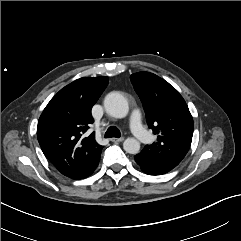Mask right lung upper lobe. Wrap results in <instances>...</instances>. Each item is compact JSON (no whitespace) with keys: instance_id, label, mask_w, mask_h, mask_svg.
<instances>
[{"instance_id":"right-lung-upper-lobe-1","label":"right lung upper lobe","mask_w":241,"mask_h":241,"mask_svg":"<svg viewBox=\"0 0 241 241\" xmlns=\"http://www.w3.org/2000/svg\"><path fill=\"white\" fill-rule=\"evenodd\" d=\"M108 85L107 77L77 79L61 89L43 110L37 126L40 147L65 176L88 166L101 156L103 146L92 133L91 109Z\"/></svg>"}]
</instances>
